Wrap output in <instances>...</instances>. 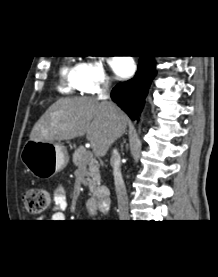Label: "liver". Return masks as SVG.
I'll return each instance as SVG.
<instances>
[{
  "label": "liver",
  "mask_w": 218,
  "mask_h": 277,
  "mask_svg": "<svg viewBox=\"0 0 218 277\" xmlns=\"http://www.w3.org/2000/svg\"><path fill=\"white\" fill-rule=\"evenodd\" d=\"M128 118L117 107L90 97L59 99L34 125L30 140L56 142L86 134L97 156H104L111 144L121 137Z\"/></svg>",
  "instance_id": "obj_1"
}]
</instances>
